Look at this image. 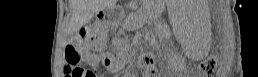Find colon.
<instances>
[{"instance_id": "colon-1", "label": "colon", "mask_w": 258, "mask_h": 77, "mask_svg": "<svg viewBox=\"0 0 258 77\" xmlns=\"http://www.w3.org/2000/svg\"><path fill=\"white\" fill-rule=\"evenodd\" d=\"M106 26L101 21H94L82 28L80 39L83 45L92 50H98L105 44ZM82 51L76 46H69L66 50L65 70L70 77H88L80 66L82 60ZM140 64L147 69L154 68V58L150 54H144L141 57ZM219 59L216 55H209L201 62V69L206 74H213L218 69Z\"/></svg>"}]
</instances>
